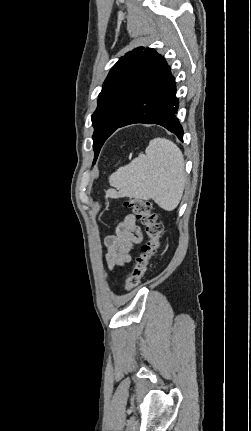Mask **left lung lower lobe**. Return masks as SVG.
I'll return each instance as SVG.
<instances>
[{
  "label": "left lung lower lobe",
  "mask_w": 251,
  "mask_h": 431,
  "mask_svg": "<svg viewBox=\"0 0 251 431\" xmlns=\"http://www.w3.org/2000/svg\"><path fill=\"white\" fill-rule=\"evenodd\" d=\"M178 106L175 78L161 56L112 133L135 123L158 124L182 141L183 129L175 116Z\"/></svg>",
  "instance_id": "0a47b994"
}]
</instances>
